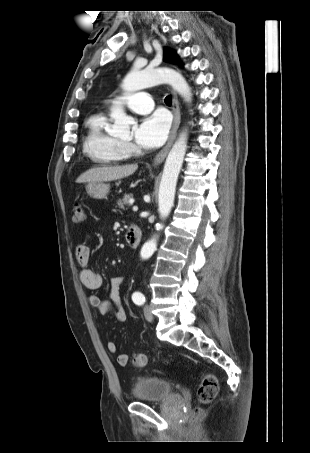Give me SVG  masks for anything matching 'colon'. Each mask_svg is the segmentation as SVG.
<instances>
[{
    "mask_svg": "<svg viewBox=\"0 0 310 453\" xmlns=\"http://www.w3.org/2000/svg\"><path fill=\"white\" fill-rule=\"evenodd\" d=\"M85 219V212L80 204H76L73 208V220L82 222ZM148 357L145 353H138L134 358V366L143 367L147 364ZM219 384L217 378L210 374H202L200 384L197 389V399L201 404L210 403L217 395ZM201 415V409L197 408L194 411L193 418L197 419Z\"/></svg>",
    "mask_w": 310,
    "mask_h": 453,
    "instance_id": "5ec220e1",
    "label": "colon"
}]
</instances>
